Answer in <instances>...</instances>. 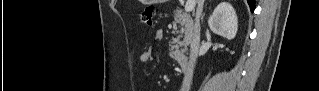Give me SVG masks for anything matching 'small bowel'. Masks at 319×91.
Masks as SVG:
<instances>
[{
    "mask_svg": "<svg viewBox=\"0 0 319 91\" xmlns=\"http://www.w3.org/2000/svg\"><path fill=\"white\" fill-rule=\"evenodd\" d=\"M161 34L157 33L156 34V38H160ZM141 61L143 63H149L153 60V51L152 49H148L145 52L142 53L141 57H140Z\"/></svg>",
    "mask_w": 319,
    "mask_h": 91,
    "instance_id": "obj_1",
    "label": "small bowel"
}]
</instances>
